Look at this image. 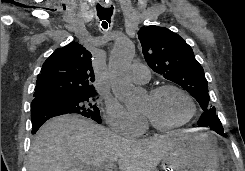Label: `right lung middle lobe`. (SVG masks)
Wrapping results in <instances>:
<instances>
[{
  "mask_svg": "<svg viewBox=\"0 0 245 171\" xmlns=\"http://www.w3.org/2000/svg\"><path fill=\"white\" fill-rule=\"evenodd\" d=\"M94 94L82 95H53L47 98L52 103L58 104L69 113H77L102 123L98 107L90 102Z\"/></svg>",
  "mask_w": 245,
  "mask_h": 171,
  "instance_id": "1",
  "label": "right lung middle lobe"
}]
</instances>
